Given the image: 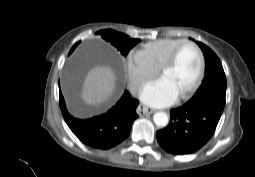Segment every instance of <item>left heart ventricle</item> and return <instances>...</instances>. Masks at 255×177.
Listing matches in <instances>:
<instances>
[{"label":"left heart ventricle","instance_id":"obj_1","mask_svg":"<svg viewBox=\"0 0 255 177\" xmlns=\"http://www.w3.org/2000/svg\"><path fill=\"white\" fill-rule=\"evenodd\" d=\"M199 55L190 45L183 47L174 66L163 73L179 94L186 91L195 81L199 70Z\"/></svg>","mask_w":255,"mask_h":177}]
</instances>
